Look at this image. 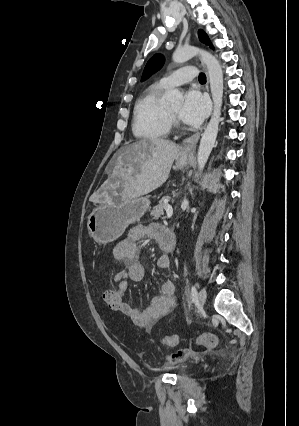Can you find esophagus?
Returning a JSON list of instances; mask_svg holds the SVG:
<instances>
[{
  "mask_svg": "<svg viewBox=\"0 0 299 426\" xmlns=\"http://www.w3.org/2000/svg\"><path fill=\"white\" fill-rule=\"evenodd\" d=\"M198 62H199V64L203 67V69H205V71H206V75H207V84H206V88H207V90L209 91V80H208V73H207V69H206V66H205V64L198 58ZM199 137H200V132H198V133H196V134H194L192 137H191V139H189L188 141H186L184 144H183V146H182V148H181V154H183V155H190V154H192V152H193V150H194V147H195V145H196V143H197V141H198V139H199Z\"/></svg>",
  "mask_w": 299,
  "mask_h": 426,
  "instance_id": "obj_1",
  "label": "esophagus"
}]
</instances>
